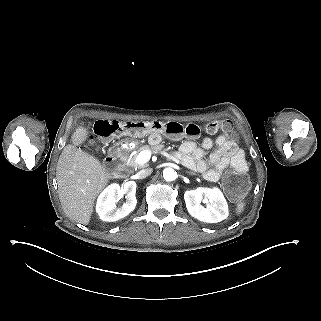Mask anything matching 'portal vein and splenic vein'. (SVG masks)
Returning a JSON list of instances; mask_svg holds the SVG:
<instances>
[{
	"instance_id": "18ae733b",
	"label": "portal vein and splenic vein",
	"mask_w": 321,
	"mask_h": 321,
	"mask_svg": "<svg viewBox=\"0 0 321 321\" xmlns=\"http://www.w3.org/2000/svg\"><path fill=\"white\" fill-rule=\"evenodd\" d=\"M151 158V152L147 150L141 151L135 158V163L139 165H143L149 162Z\"/></svg>"
}]
</instances>
